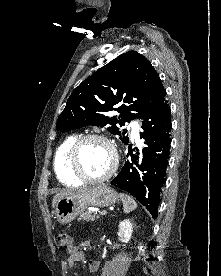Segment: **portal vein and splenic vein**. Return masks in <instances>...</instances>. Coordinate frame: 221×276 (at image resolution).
<instances>
[{"instance_id": "obj_1", "label": "portal vein and splenic vein", "mask_w": 221, "mask_h": 276, "mask_svg": "<svg viewBox=\"0 0 221 276\" xmlns=\"http://www.w3.org/2000/svg\"><path fill=\"white\" fill-rule=\"evenodd\" d=\"M106 213V211L100 212L101 215H105Z\"/></svg>"}]
</instances>
